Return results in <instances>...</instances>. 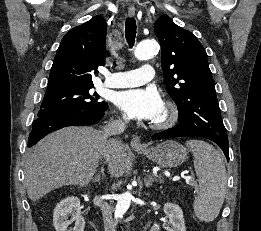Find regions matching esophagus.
<instances>
[{"label":"esophagus","mask_w":261,"mask_h":231,"mask_svg":"<svg viewBox=\"0 0 261 231\" xmlns=\"http://www.w3.org/2000/svg\"><path fill=\"white\" fill-rule=\"evenodd\" d=\"M136 13L135 6L132 4L128 8V14L130 17H134ZM132 148H144L145 146L142 144L140 136L136 135L132 138L131 142Z\"/></svg>","instance_id":"obj_1"}]
</instances>
